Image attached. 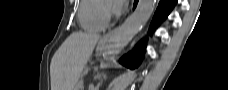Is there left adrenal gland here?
Returning <instances> with one entry per match:
<instances>
[{"mask_svg":"<svg viewBox=\"0 0 228 90\" xmlns=\"http://www.w3.org/2000/svg\"><path fill=\"white\" fill-rule=\"evenodd\" d=\"M96 78H97L98 80H100V79H101V77H100V75H99V74L96 76Z\"/></svg>","mask_w":228,"mask_h":90,"instance_id":"left-adrenal-gland-1","label":"left adrenal gland"}]
</instances>
